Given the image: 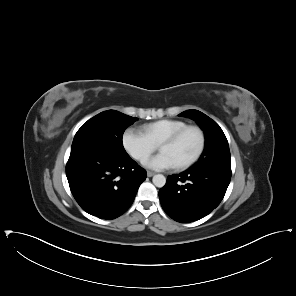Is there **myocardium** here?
Instances as JSON below:
<instances>
[{"label": "myocardium", "mask_w": 296, "mask_h": 296, "mask_svg": "<svg viewBox=\"0 0 296 296\" xmlns=\"http://www.w3.org/2000/svg\"><path fill=\"white\" fill-rule=\"evenodd\" d=\"M195 131L199 135V144L195 152L187 159L177 162L175 164L176 167L182 168L186 167L193 162H195L199 156L202 154L205 146V136L203 131L197 127V126H187L185 129L181 130L180 132L174 134L172 137H170L162 146L161 151L165 152L169 147L175 145L177 142H179L188 132Z\"/></svg>", "instance_id": "f54148a6"}]
</instances>
